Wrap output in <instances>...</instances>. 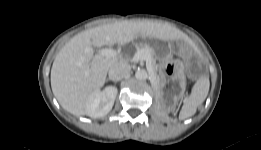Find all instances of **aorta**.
<instances>
[{
    "mask_svg": "<svg viewBox=\"0 0 261 150\" xmlns=\"http://www.w3.org/2000/svg\"><path fill=\"white\" fill-rule=\"evenodd\" d=\"M135 77L137 80H145L148 78V73L144 69H139L136 71Z\"/></svg>",
    "mask_w": 261,
    "mask_h": 150,
    "instance_id": "aorta-1",
    "label": "aorta"
}]
</instances>
